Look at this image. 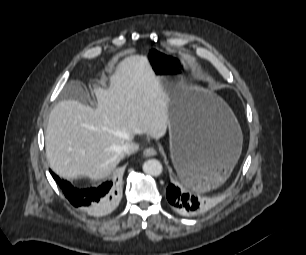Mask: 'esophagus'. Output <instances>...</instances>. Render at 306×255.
Returning <instances> with one entry per match:
<instances>
[{
  "label": "esophagus",
  "instance_id": "1",
  "mask_svg": "<svg viewBox=\"0 0 306 255\" xmlns=\"http://www.w3.org/2000/svg\"><path fill=\"white\" fill-rule=\"evenodd\" d=\"M143 155H144L145 157H153V156H156V155H157V151H156V149L153 148V147H148V148H146V149L144 150Z\"/></svg>",
  "mask_w": 306,
  "mask_h": 255
}]
</instances>
